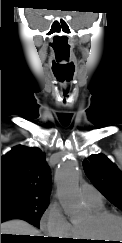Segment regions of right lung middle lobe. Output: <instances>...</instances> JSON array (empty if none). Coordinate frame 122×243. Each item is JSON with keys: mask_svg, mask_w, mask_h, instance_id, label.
Here are the masks:
<instances>
[{"mask_svg": "<svg viewBox=\"0 0 122 243\" xmlns=\"http://www.w3.org/2000/svg\"><path fill=\"white\" fill-rule=\"evenodd\" d=\"M49 204V199L24 195L1 196V212L17 213L28 216L40 227V218Z\"/></svg>", "mask_w": 122, "mask_h": 243, "instance_id": "dd1d6c3e", "label": "right lung middle lobe"}]
</instances>
